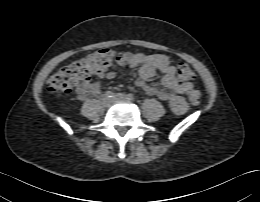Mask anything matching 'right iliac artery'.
Returning <instances> with one entry per match:
<instances>
[{"label":"right iliac artery","instance_id":"1","mask_svg":"<svg viewBox=\"0 0 260 202\" xmlns=\"http://www.w3.org/2000/svg\"><path fill=\"white\" fill-rule=\"evenodd\" d=\"M105 96H108V97H113V93H112V92H110V91H108V92H106V93H105Z\"/></svg>","mask_w":260,"mask_h":202}]
</instances>
